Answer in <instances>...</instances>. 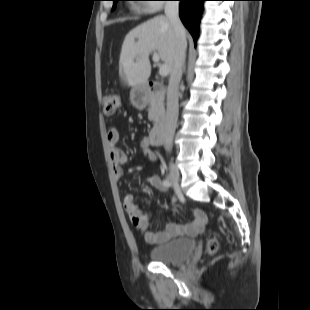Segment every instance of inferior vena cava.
I'll use <instances>...</instances> for the list:
<instances>
[{"label":"inferior vena cava","mask_w":310,"mask_h":310,"mask_svg":"<svg viewBox=\"0 0 310 310\" xmlns=\"http://www.w3.org/2000/svg\"><path fill=\"white\" fill-rule=\"evenodd\" d=\"M165 15L171 22L175 33L173 66L170 71V79L167 90V109L162 127L164 147L169 151L172 148L178 119V87L182 77V67L185 60L187 42L185 37V29L179 18V2L167 1L165 4Z\"/></svg>","instance_id":"obj_1"}]
</instances>
